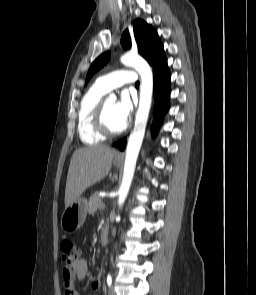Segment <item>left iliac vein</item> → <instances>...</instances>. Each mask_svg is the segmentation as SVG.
<instances>
[{
	"mask_svg": "<svg viewBox=\"0 0 256 295\" xmlns=\"http://www.w3.org/2000/svg\"><path fill=\"white\" fill-rule=\"evenodd\" d=\"M108 295H116L115 291L113 288H110L108 291Z\"/></svg>",
	"mask_w": 256,
	"mask_h": 295,
	"instance_id": "4c4485c4",
	"label": "left iliac vein"
}]
</instances>
